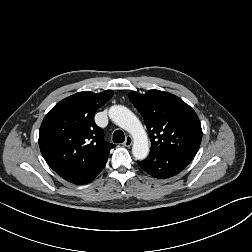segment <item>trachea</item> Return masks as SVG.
I'll return each instance as SVG.
<instances>
[{
	"instance_id": "3493384b",
	"label": "trachea",
	"mask_w": 252,
	"mask_h": 252,
	"mask_svg": "<svg viewBox=\"0 0 252 252\" xmlns=\"http://www.w3.org/2000/svg\"><path fill=\"white\" fill-rule=\"evenodd\" d=\"M125 140L124 133L121 130H116L113 133V142L114 143H122Z\"/></svg>"
}]
</instances>
